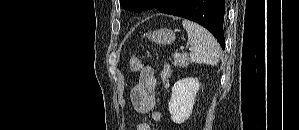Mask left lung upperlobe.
I'll return each mask as SVG.
<instances>
[{"label": "left lung upper lobe", "mask_w": 299, "mask_h": 130, "mask_svg": "<svg viewBox=\"0 0 299 130\" xmlns=\"http://www.w3.org/2000/svg\"><path fill=\"white\" fill-rule=\"evenodd\" d=\"M158 1L161 0H120V3L124 9L140 12Z\"/></svg>", "instance_id": "obj_1"}]
</instances>
